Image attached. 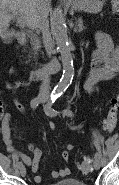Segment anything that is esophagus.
Wrapping results in <instances>:
<instances>
[{
  "label": "esophagus",
  "mask_w": 119,
  "mask_h": 185,
  "mask_svg": "<svg viewBox=\"0 0 119 185\" xmlns=\"http://www.w3.org/2000/svg\"><path fill=\"white\" fill-rule=\"evenodd\" d=\"M64 3H69L71 2L72 0H62Z\"/></svg>",
  "instance_id": "34e87169"
}]
</instances>
